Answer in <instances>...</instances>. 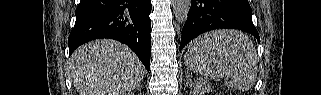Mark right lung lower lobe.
I'll return each mask as SVG.
<instances>
[{
  "label": "right lung lower lobe",
  "instance_id": "obj_1",
  "mask_svg": "<svg viewBox=\"0 0 321 95\" xmlns=\"http://www.w3.org/2000/svg\"><path fill=\"white\" fill-rule=\"evenodd\" d=\"M151 0H81L69 38L70 54L80 45L110 38L128 45L150 70Z\"/></svg>",
  "mask_w": 321,
  "mask_h": 95
}]
</instances>
